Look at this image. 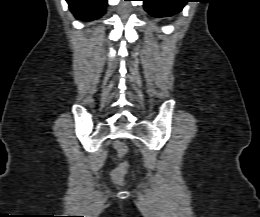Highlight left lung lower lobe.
I'll return each mask as SVG.
<instances>
[{
  "label": "left lung lower lobe",
  "instance_id": "left-lung-lower-lobe-1",
  "mask_svg": "<svg viewBox=\"0 0 260 217\" xmlns=\"http://www.w3.org/2000/svg\"><path fill=\"white\" fill-rule=\"evenodd\" d=\"M144 9L153 17H169L182 11L187 0H142Z\"/></svg>",
  "mask_w": 260,
  "mask_h": 217
}]
</instances>
